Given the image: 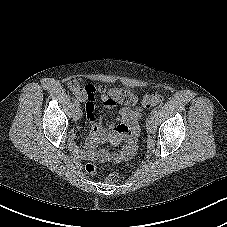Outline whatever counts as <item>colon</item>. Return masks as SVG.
Returning <instances> with one entry per match:
<instances>
[{
    "label": "colon",
    "mask_w": 227,
    "mask_h": 227,
    "mask_svg": "<svg viewBox=\"0 0 227 227\" xmlns=\"http://www.w3.org/2000/svg\"><path fill=\"white\" fill-rule=\"evenodd\" d=\"M69 88L75 92L77 91L80 87L76 81H71L69 82ZM101 91H104V89H100ZM111 99L119 104H128L131 102L132 99V93L129 90L122 89V88H115V89H110L108 91ZM162 98L158 94H146L143 96L141 99V105L146 108L150 109L154 106H157L161 104ZM86 172L89 175H96L97 174V168L94 164H87L86 167ZM106 180L109 183H116L119 180V175L117 173H111L106 177Z\"/></svg>",
    "instance_id": "5ec220e1"
}]
</instances>
